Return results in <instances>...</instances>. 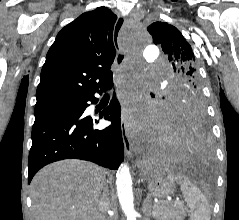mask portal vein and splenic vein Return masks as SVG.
I'll return each instance as SVG.
<instances>
[{"label":"portal vein and splenic vein","instance_id":"18ae733b","mask_svg":"<svg viewBox=\"0 0 239 220\" xmlns=\"http://www.w3.org/2000/svg\"><path fill=\"white\" fill-rule=\"evenodd\" d=\"M176 204H181V202H176Z\"/></svg>","mask_w":239,"mask_h":220}]
</instances>
